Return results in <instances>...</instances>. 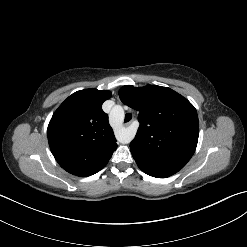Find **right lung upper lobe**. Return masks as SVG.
<instances>
[{
    "instance_id": "right-lung-upper-lobe-1",
    "label": "right lung upper lobe",
    "mask_w": 247,
    "mask_h": 247,
    "mask_svg": "<svg viewBox=\"0 0 247 247\" xmlns=\"http://www.w3.org/2000/svg\"><path fill=\"white\" fill-rule=\"evenodd\" d=\"M111 97L107 90L73 93L55 111L47 129L48 142L58 164L76 176L101 170L117 148L116 138L102 110Z\"/></svg>"
}]
</instances>
